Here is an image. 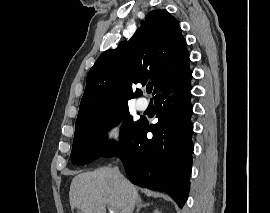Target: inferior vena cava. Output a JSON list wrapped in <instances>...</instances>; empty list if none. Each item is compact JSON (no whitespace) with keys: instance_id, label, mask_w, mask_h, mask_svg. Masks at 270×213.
Segmentation results:
<instances>
[{"instance_id":"602c4592","label":"inferior vena cava","mask_w":270,"mask_h":213,"mask_svg":"<svg viewBox=\"0 0 270 213\" xmlns=\"http://www.w3.org/2000/svg\"><path fill=\"white\" fill-rule=\"evenodd\" d=\"M112 171H113V174H114L115 177H117V178H122V175H121V173H120L118 167L112 168Z\"/></svg>"}]
</instances>
